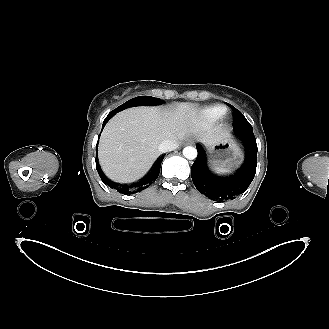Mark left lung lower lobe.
Here are the masks:
<instances>
[{"label": "left lung lower lobe", "mask_w": 329, "mask_h": 329, "mask_svg": "<svg viewBox=\"0 0 329 329\" xmlns=\"http://www.w3.org/2000/svg\"><path fill=\"white\" fill-rule=\"evenodd\" d=\"M234 133L242 141L246 153L244 164L235 174L229 177L213 175L199 147L198 156L191 167V177L197 190L214 201L235 199L247 190L256 173L257 143L252 126L234 127Z\"/></svg>", "instance_id": "1"}]
</instances>
